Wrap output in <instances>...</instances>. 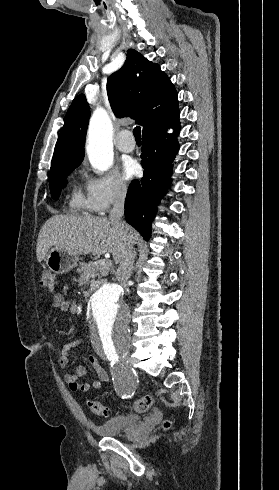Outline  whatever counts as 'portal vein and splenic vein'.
I'll use <instances>...</instances> for the list:
<instances>
[{
	"label": "portal vein and splenic vein",
	"instance_id": "18ae733b",
	"mask_svg": "<svg viewBox=\"0 0 279 490\" xmlns=\"http://www.w3.org/2000/svg\"><path fill=\"white\" fill-rule=\"evenodd\" d=\"M109 258V256H108ZM107 260H103V262H97V264H106ZM107 264H109V262H107ZM109 266H111V264H109Z\"/></svg>",
	"mask_w": 279,
	"mask_h": 490
}]
</instances>
